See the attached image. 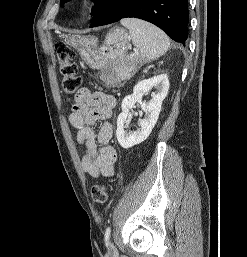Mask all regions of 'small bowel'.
<instances>
[{"instance_id":"c3829d8e","label":"small bowel","mask_w":247,"mask_h":257,"mask_svg":"<svg viewBox=\"0 0 247 257\" xmlns=\"http://www.w3.org/2000/svg\"><path fill=\"white\" fill-rule=\"evenodd\" d=\"M115 104L112 95L81 88L71 108L69 122L77 130V142L83 146L81 166L93 178L110 177L114 172L117 152L110 145L113 126L108 120ZM97 122L101 125L96 131L93 126Z\"/></svg>"}]
</instances>
